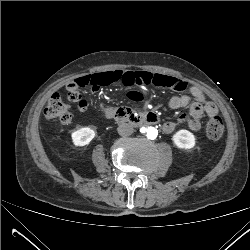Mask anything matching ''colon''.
Segmentation results:
<instances>
[{
    "label": "colon",
    "mask_w": 250,
    "mask_h": 250,
    "mask_svg": "<svg viewBox=\"0 0 250 250\" xmlns=\"http://www.w3.org/2000/svg\"><path fill=\"white\" fill-rule=\"evenodd\" d=\"M140 79L144 80L146 84L156 87L160 86L164 81V78L160 75L121 68L96 72L90 76L71 80L64 85L63 89L71 98H77L79 91L87 86L108 85L111 83L132 85ZM206 110L209 113L206 135L210 140H218L222 137L224 129L222 120L216 112L217 106L213 102H208ZM72 113V107L63 100L62 94L59 92L52 95L44 109L47 118H56L62 121H68L72 117Z\"/></svg>",
    "instance_id": "5ec220e1"
}]
</instances>
